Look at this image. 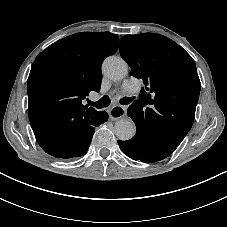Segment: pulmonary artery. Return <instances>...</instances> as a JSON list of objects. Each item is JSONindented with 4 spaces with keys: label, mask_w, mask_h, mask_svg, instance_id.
Here are the masks:
<instances>
[{
    "label": "pulmonary artery",
    "mask_w": 227,
    "mask_h": 227,
    "mask_svg": "<svg viewBox=\"0 0 227 227\" xmlns=\"http://www.w3.org/2000/svg\"><path fill=\"white\" fill-rule=\"evenodd\" d=\"M136 83L133 80H125L123 83V89L127 92H131L135 89Z\"/></svg>",
    "instance_id": "obj_1"
}]
</instances>
